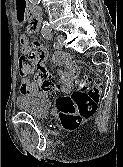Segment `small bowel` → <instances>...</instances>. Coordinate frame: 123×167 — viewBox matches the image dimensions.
I'll return each instance as SVG.
<instances>
[{
	"label": "small bowel",
	"mask_w": 123,
	"mask_h": 167,
	"mask_svg": "<svg viewBox=\"0 0 123 167\" xmlns=\"http://www.w3.org/2000/svg\"><path fill=\"white\" fill-rule=\"evenodd\" d=\"M15 3H17L16 9H18L15 10V14H17V19H19L17 20V24H26V20L24 19H26L27 17V13H25V10L27 9L28 1L15 0ZM36 29V20L32 17L30 20L29 30L35 31ZM20 44L22 53L30 59L31 64L25 72L21 73L23 77L20 81L19 92L23 95L41 96L42 91L40 90V88L37 86V84L30 82L26 75L32 70L34 66H37V68H43V63L48 57V52L46 48L41 44L36 43L34 45H31L27 34L21 35ZM58 55L59 54H56L53 57V60L56 63H61L57 60ZM74 74L75 67L72 65H67L66 72L62 74V79L65 82H69V80L74 76Z\"/></svg>",
	"instance_id": "1"
}]
</instances>
